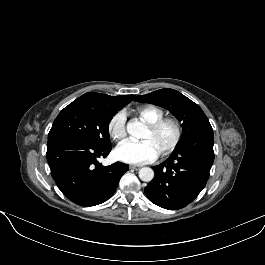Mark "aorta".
Listing matches in <instances>:
<instances>
[{"instance_id":"obj_1","label":"aorta","mask_w":265,"mask_h":265,"mask_svg":"<svg viewBox=\"0 0 265 265\" xmlns=\"http://www.w3.org/2000/svg\"><path fill=\"white\" fill-rule=\"evenodd\" d=\"M144 130L143 123L134 120L127 124V132L134 138H139ZM139 178L142 181L150 182L154 178V171L149 167H143L139 170Z\"/></svg>"}]
</instances>
